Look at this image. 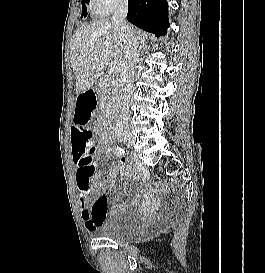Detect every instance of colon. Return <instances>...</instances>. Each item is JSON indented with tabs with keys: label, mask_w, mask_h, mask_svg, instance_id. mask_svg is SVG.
I'll use <instances>...</instances> for the list:
<instances>
[{
	"label": "colon",
	"mask_w": 265,
	"mask_h": 273,
	"mask_svg": "<svg viewBox=\"0 0 265 273\" xmlns=\"http://www.w3.org/2000/svg\"><path fill=\"white\" fill-rule=\"evenodd\" d=\"M78 124H86V123H78ZM81 137L91 143V146L89 148V152L91 153V156H92L93 152L95 151V145H94L92 133L88 130H83L81 133ZM90 162H93L92 157H90ZM94 208L96 211H98L99 203H96L94 205Z\"/></svg>",
	"instance_id": "obj_1"
}]
</instances>
